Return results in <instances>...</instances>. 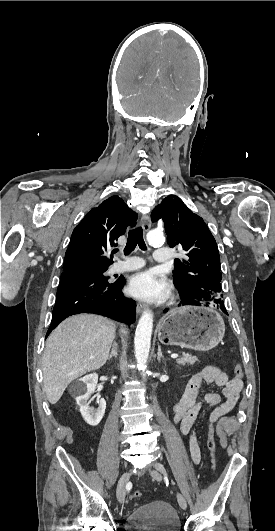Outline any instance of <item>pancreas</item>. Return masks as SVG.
I'll use <instances>...</instances> for the list:
<instances>
[{"instance_id":"obj_1","label":"pancreas","mask_w":275,"mask_h":531,"mask_svg":"<svg viewBox=\"0 0 275 531\" xmlns=\"http://www.w3.org/2000/svg\"><path fill=\"white\" fill-rule=\"evenodd\" d=\"M178 365H195L198 359L194 355H188V353H181L180 359H176Z\"/></svg>"}]
</instances>
